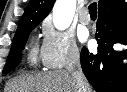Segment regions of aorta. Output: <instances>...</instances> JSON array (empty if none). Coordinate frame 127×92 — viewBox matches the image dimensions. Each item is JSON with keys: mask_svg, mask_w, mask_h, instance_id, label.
Returning <instances> with one entry per match:
<instances>
[{"mask_svg": "<svg viewBox=\"0 0 127 92\" xmlns=\"http://www.w3.org/2000/svg\"><path fill=\"white\" fill-rule=\"evenodd\" d=\"M76 0H57L52 11L53 24L58 30L67 29L72 23Z\"/></svg>", "mask_w": 127, "mask_h": 92, "instance_id": "1", "label": "aorta"}]
</instances>
